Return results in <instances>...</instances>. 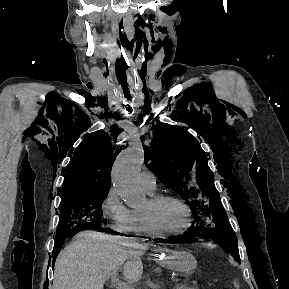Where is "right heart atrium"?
<instances>
[{
    "label": "right heart atrium",
    "instance_id": "1",
    "mask_svg": "<svg viewBox=\"0 0 289 289\" xmlns=\"http://www.w3.org/2000/svg\"><path fill=\"white\" fill-rule=\"evenodd\" d=\"M102 215L109 227L118 233L133 231L134 219L130 210L121 200L117 191L110 188L101 204Z\"/></svg>",
    "mask_w": 289,
    "mask_h": 289
}]
</instances>
